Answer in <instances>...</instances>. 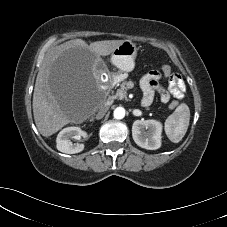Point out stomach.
Wrapping results in <instances>:
<instances>
[{
  "instance_id": "stomach-1",
  "label": "stomach",
  "mask_w": 227,
  "mask_h": 227,
  "mask_svg": "<svg viewBox=\"0 0 227 227\" xmlns=\"http://www.w3.org/2000/svg\"><path fill=\"white\" fill-rule=\"evenodd\" d=\"M136 56V45L126 40L114 49L111 55V62L121 72H130L134 69Z\"/></svg>"
}]
</instances>
